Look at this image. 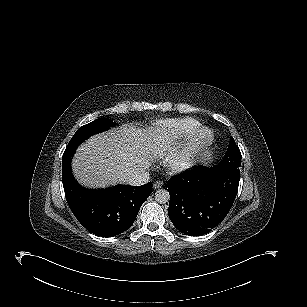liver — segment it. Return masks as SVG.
<instances>
[{
    "mask_svg": "<svg viewBox=\"0 0 307 307\" xmlns=\"http://www.w3.org/2000/svg\"><path fill=\"white\" fill-rule=\"evenodd\" d=\"M161 149L151 138L133 127L95 135L74 154L72 170L85 187L128 184L129 178L148 167L147 157Z\"/></svg>",
    "mask_w": 307,
    "mask_h": 307,
    "instance_id": "6515ba94",
    "label": "liver"
}]
</instances>
